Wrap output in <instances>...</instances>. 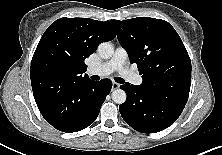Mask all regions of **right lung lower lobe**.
<instances>
[{"label":"right lung lower lobe","mask_w":222,"mask_h":155,"mask_svg":"<svg viewBox=\"0 0 222 155\" xmlns=\"http://www.w3.org/2000/svg\"><path fill=\"white\" fill-rule=\"evenodd\" d=\"M109 79L75 82L66 88L44 86L33 89L36 104L48 123L63 132H78L97 118L110 93Z\"/></svg>","instance_id":"98d812e1"}]
</instances>
